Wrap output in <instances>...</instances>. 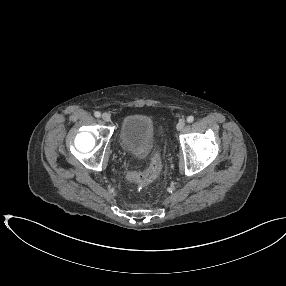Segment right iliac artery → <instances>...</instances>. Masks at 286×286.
Here are the masks:
<instances>
[{"instance_id":"obj_1","label":"right iliac artery","mask_w":286,"mask_h":286,"mask_svg":"<svg viewBox=\"0 0 286 286\" xmlns=\"http://www.w3.org/2000/svg\"><path fill=\"white\" fill-rule=\"evenodd\" d=\"M94 116L97 117V118H99V117L101 116V113L98 112V111H96V112L94 113Z\"/></svg>"}]
</instances>
